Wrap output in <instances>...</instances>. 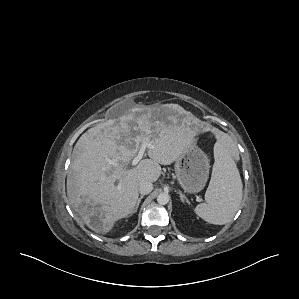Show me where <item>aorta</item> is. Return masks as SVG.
Instances as JSON below:
<instances>
[{
  "label": "aorta",
  "instance_id": "762f6f07",
  "mask_svg": "<svg viewBox=\"0 0 299 299\" xmlns=\"http://www.w3.org/2000/svg\"><path fill=\"white\" fill-rule=\"evenodd\" d=\"M170 200V196L168 193H160L157 197V202L160 204V205H166Z\"/></svg>",
  "mask_w": 299,
  "mask_h": 299
}]
</instances>
